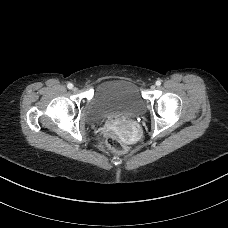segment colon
<instances>
[{
    "label": "colon",
    "instance_id": "5ec220e1",
    "mask_svg": "<svg viewBox=\"0 0 228 228\" xmlns=\"http://www.w3.org/2000/svg\"><path fill=\"white\" fill-rule=\"evenodd\" d=\"M107 144L112 151L118 154H124L127 152V146L123 138L117 133H111L107 138Z\"/></svg>",
    "mask_w": 228,
    "mask_h": 228
}]
</instances>
